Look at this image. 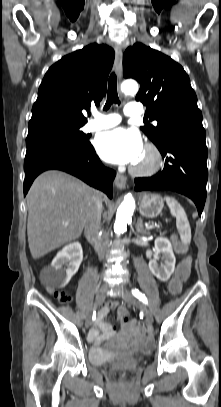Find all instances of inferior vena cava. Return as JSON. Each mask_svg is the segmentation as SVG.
I'll return each mask as SVG.
<instances>
[{"instance_id": "602c4592", "label": "inferior vena cava", "mask_w": 221, "mask_h": 407, "mask_svg": "<svg viewBox=\"0 0 221 407\" xmlns=\"http://www.w3.org/2000/svg\"><path fill=\"white\" fill-rule=\"evenodd\" d=\"M102 209L103 205L101 198L95 196L84 230L85 236L91 242L99 257H104L106 252V248L103 245L102 238L99 235Z\"/></svg>"}]
</instances>
